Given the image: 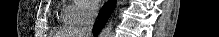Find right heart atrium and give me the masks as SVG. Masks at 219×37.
Returning a JSON list of instances; mask_svg holds the SVG:
<instances>
[{
  "mask_svg": "<svg viewBox=\"0 0 219 37\" xmlns=\"http://www.w3.org/2000/svg\"><path fill=\"white\" fill-rule=\"evenodd\" d=\"M98 5L92 0H75L66 10V18L76 24H82L96 15Z\"/></svg>",
  "mask_w": 219,
  "mask_h": 37,
  "instance_id": "d8ad5b80",
  "label": "right heart atrium"
}]
</instances>
